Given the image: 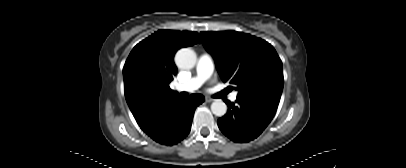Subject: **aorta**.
I'll list each match as a JSON object with an SVG mask.
<instances>
[{
	"label": "aorta",
	"mask_w": 406,
	"mask_h": 168,
	"mask_svg": "<svg viewBox=\"0 0 406 168\" xmlns=\"http://www.w3.org/2000/svg\"><path fill=\"white\" fill-rule=\"evenodd\" d=\"M175 62L179 68L191 69L197 62L196 53L190 48H182L176 53ZM211 111L218 117L224 116L227 112V105L221 99H216L211 104Z\"/></svg>",
	"instance_id": "aorta-1"
}]
</instances>
